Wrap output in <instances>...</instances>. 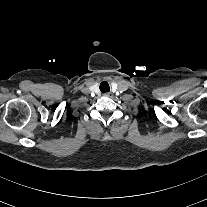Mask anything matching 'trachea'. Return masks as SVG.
Returning <instances> with one entry per match:
<instances>
[{"instance_id": "1", "label": "trachea", "mask_w": 207, "mask_h": 207, "mask_svg": "<svg viewBox=\"0 0 207 207\" xmlns=\"http://www.w3.org/2000/svg\"><path fill=\"white\" fill-rule=\"evenodd\" d=\"M109 90H110V87H109L108 82H106V81L101 82V84H100V91L102 93H104V92H108Z\"/></svg>"}]
</instances>
